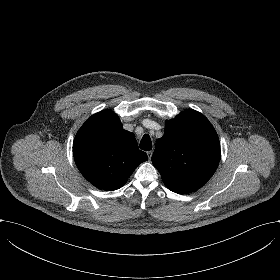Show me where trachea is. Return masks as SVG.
<instances>
[{
	"instance_id": "1",
	"label": "trachea",
	"mask_w": 280,
	"mask_h": 280,
	"mask_svg": "<svg viewBox=\"0 0 280 280\" xmlns=\"http://www.w3.org/2000/svg\"><path fill=\"white\" fill-rule=\"evenodd\" d=\"M140 148L142 150H151L152 149V142H151V139H150V136L145 134L142 139H141V142H140Z\"/></svg>"
}]
</instances>
